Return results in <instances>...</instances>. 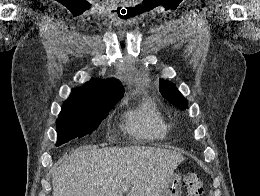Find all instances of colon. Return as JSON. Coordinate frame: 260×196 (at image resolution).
Returning <instances> with one entry per match:
<instances>
[{
  "instance_id": "colon-1",
  "label": "colon",
  "mask_w": 260,
  "mask_h": 196,
  "mask_svg": "<svg viewBox=\"0 0 260 196\" xmlns=\"http://www.w3.org/2000/svg\"><path fill=\"white\" fill-rule=\"evenodd\" d=\"M184 187L187 189V196H203L204 186L202 178L195 173L185 175L183 179Z\"/></svg>"
}]
</instances>
